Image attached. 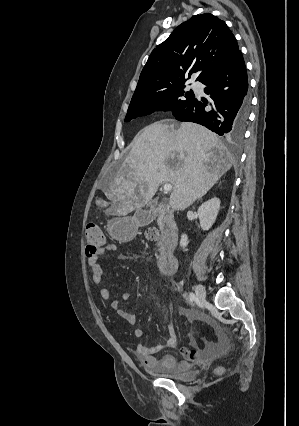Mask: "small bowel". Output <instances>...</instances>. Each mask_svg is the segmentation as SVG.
<instances>
[{"label":"small bowel","instance_id":"c3829d8e","mask_svg":"<svg viewBox=\"0 0 299 426\" xmlns=\"http://www.w3.org/2000/svg\"><path fill=\"white\" fill-rule=\"evenodd\" d=\"M118 250V247L115 243H107L101 247L96 254L91 257H88V266L91 272L92 281L101 286L100 295L102 299L108 301L111 307L117 312V314L123 318L126 323L130 326L136 324V316L130 311H126L121 308V304L124 301H127L131 297V292H124L120 298H112L110 291L107 287L104 286V283L108 280L104 274L102 266L99 264V258L103 255L114 254ZM184 315L191 316L186 310L181 312ZM169 338L166 344L157 345V346H146L144 344H138L134 350L135 355L140 360V362L146 368H176L181 370H188L196 363H202L208 360L217 350V342H204L203 346H199L198 343L194 340L191 341L190 348H182L181 355L182 359L177 360L172 355H165L164 357L158 359L155 355L164 348H172L177 343L176 333L173 326H168ZM136 338H141L144 335V331L141 328H135L133 332Z\"/></svg>","mask_w":299,"mask_h":426}]
</instances>
